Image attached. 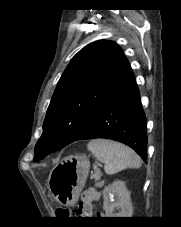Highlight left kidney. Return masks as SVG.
<instances>
[{"mask_svg": "<svg viewBox=\"0 0 181 227\" xmlns=\"http://www.w3.org/2000/svg\"><path fill=\"white\" fill-rule=\"evenodd\" d=\"M106 217H132L133 206L125 182L118 180L103 191ZM118 210V212H115Z\"/></svg>", "mask_w": 181, "mask_h": 227, "instance_id": "5707ae66", "label": "left kidney"}]
</instances>
